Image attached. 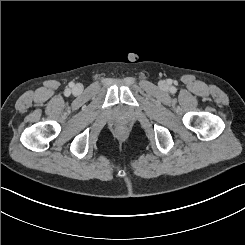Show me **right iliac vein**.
Here are the masks:
<instances>
[{"mask_svg": "<svg viewBox=\"0 0 245 245\" xmlns=\"http://www.w3.org/2000/svg\"><path fill=\"white\" fill-rule=\"evenodd\" d=\"M81 91H82V86H81V85H76V86L73 88V92H74L75 94H79Z\"/></svg>", "mask_w": 245, "mask_h": 245, "instance_id": "obj_1", "label": "right iliac vein"}]
</instances>
